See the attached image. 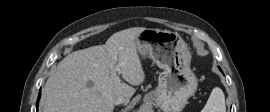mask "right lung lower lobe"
I'll return each instance as SVG.
<instances>
[{
  "label": "right lung lower lobe",
  "mask_w": 270,
  "mask_h": 112,
  "mask_svg": "<svg viewBox=\"0 0 270 112\" xmlns=\"http://www.w3.org/2000/svg\"><path fill=\"white\" fill-rule=\"evenodd\" d=\"M40 95H41V93H39V97H38V100H37L36 108H38V103H39Z\"/></svg>",
  "instance_id": "98d812e1"
}]
</instances>
